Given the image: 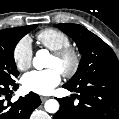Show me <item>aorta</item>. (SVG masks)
<instances>
[{
    "mask_svg": "<svg viewBox=\"0 0 119 119\" xmlns=\"http://www.w3.org/2000/svg\"><path fill=\"white\" fill-rule=\"evenodd\" d=\"M49 57V52L45 49L37 51L33 58V66L41 70L46 66V59ZM45 110L49 113H56L59 110V103L55 99H49L45 102Z\"/></svg>",
    "mask_w": 119,
    "mask_h": 119,
    "instance_id": "762f6f07",
    "label": "aorta"
}]
</instances>
